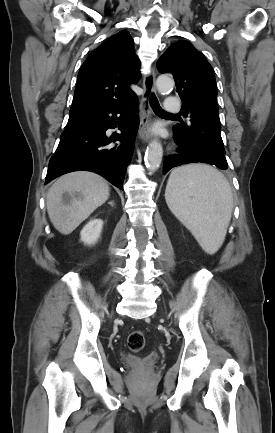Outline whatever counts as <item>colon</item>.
Masks as SVG:
<instances>
[{
    "label": "colon",
    "instance_id": "1",
    "mask_svg": "<svg viewBox=\"0 0 275 433\" xmlns=\"http://www.w3.org/2000/svg\"><path fill=\"white\" fill-rule=\"evenodd\" d=\"M128 348L132 352H140L145 345V334L141 330L133 331L127 339Z\"/></svg>",
    "mask_w": 275,
    "mask_h": 433
}]
</instances>
